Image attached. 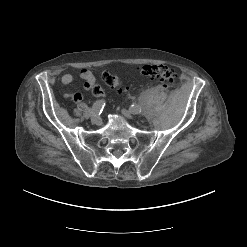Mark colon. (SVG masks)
I'll return each mask as SVG.
<instances>
[{"mask_svg":"<svg viewBox=\"0 0 247 247\" xmlns=\"http://www.w3.org/2000/svg\"><path fill=\"white\" fill-rule=\"evenodd\" d=\"M138 70L142 75L156 81L164 88L171 87L176 80L175 71L165 65H142ZM103 79L110 88L117 92H125L128 89L120 78L108 72H103ZM92 92L96 96H101L104 93L102 87L99 85L94 86Z\"/></svg>","mask_w":247,"mask_h":247,"instance_id":"5ec220e1","label":"colon"}]
</instances>
